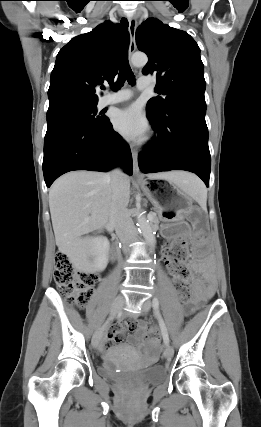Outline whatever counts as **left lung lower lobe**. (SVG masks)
<instances>
[{"mask_svg": "<svg viewBox=\"0 0 261 427\" xmlns=\"http://www.w3.org/2000/svg\"><path fill=\"white\" fill-rule=\"evenodd\" d=\"M205 113L206 104L193 101L178 102L161 117L147 111L157 137L138 155L140 170H186L198 175L208 187L211 157Z\"/></svg>", "mask_w": 261, "mask_h": 427, "instance_id": "left-lung-lower-lobe-1", "label": "left lung lower lobe"}]
</instances>
